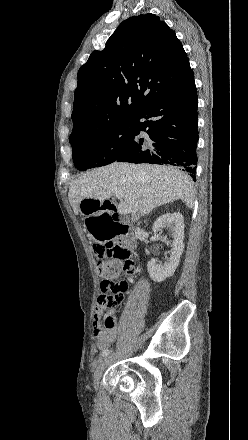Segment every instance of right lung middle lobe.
<instances>
[{
    "label": "right lung middle lobe",
    "mask_w": 248,
    "mask_h": 440,
    "mask_svg": "<svg viewBox=\"0 0 248 440\" xmlns=\"http://www.w3.org/2000/svg\"><path fill=\"white\" fill-rule=\"evenodd\" d=\"M132 132L133 123L128 119L98 134L69 137L75 167L85 171L116 161L127 151Z\"/></svg>",
    "instance_id": "right-lung-middle-lobe-1"
}]
</instances>
